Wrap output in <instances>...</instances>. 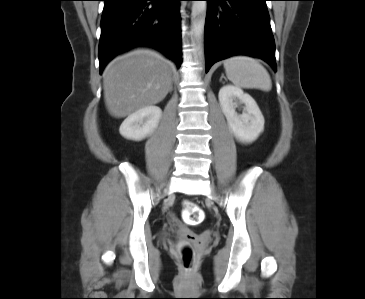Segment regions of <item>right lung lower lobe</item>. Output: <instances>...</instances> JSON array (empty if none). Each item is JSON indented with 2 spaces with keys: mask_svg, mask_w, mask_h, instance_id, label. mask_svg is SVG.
Masks as SVG:
<instances>
[{
  "mask_svg": "<svg viewBox=\"0 0 365 299\" xmlns=\"http://www.w3.org/2000/svg\"><path fill=\"white\" fill-rule=\"evenodd\" d=\"M100 74L116 55L136 46L153 47L179 67L181 0H103Z\"/></svg>",
  "mask_w": 365,
  "mask_h": 299,
  "instance_id": "right-lung-lower-lobe-1",
  "label": "right lung lower lobe"
}]
</instances>
